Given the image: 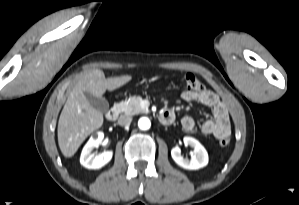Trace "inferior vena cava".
<instances>
[{"label":"inferior vena cava","mask_w":299,"mask_h":205,"mask_svg":"<svg viewBox=\"0 0 299 205\" xmlns=\"http://www.w3.org/2000/svg\"><path fill=\"white\" fill-rule=\"evenodd\" d=\"M131 121H132L131 116L121 115L118 119V124L121 126H127L130 125Z\"/></svg>","instance_id":"1"}]
</instances>
